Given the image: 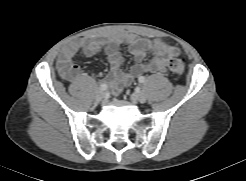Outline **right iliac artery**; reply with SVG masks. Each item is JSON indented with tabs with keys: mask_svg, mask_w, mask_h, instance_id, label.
Instances as JSON below:
<instances>
[{
	"mask_svg": "<svg viewBox=\"0 0 246 181\" xmlns=\"http://www.w3.org/2000/svg\"><path fill=\"white\" fill-rule=\"evenodd\" d=\"M100 89H101L102 91L106 90V89H107V85H106L105 83H101V84H100Z\"/></svg>",
	"mask_w": 246,
	"mask_h": 181,
	"instance_id": "82829eb1",
	"label": "right iliac artery"
}]
</instances>
